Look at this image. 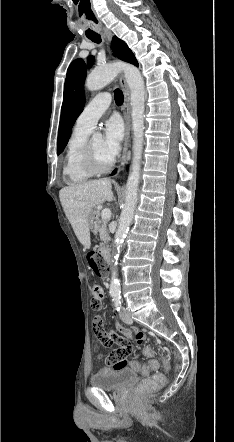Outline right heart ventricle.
Returning a JSON list of instances; mask_svg holds the SVG:
<instances>
[{
    "mask_svg": "<svg viewBox=\"0 0 234 442\" xmlns=\"http://www.w3.org/2000/svg\"><path fill=\"white\" fill-rule=\"evenodd\" d=\"M89 134L88 131L74 128L68 140L63 175L70 184H82L94 176L83 164V152Z\"/></svg>",
    "mask_w": 234,
    "mask_h": 442,
    "instance_id": "e07e8e85",
    "label": "right heart ventricle"
}]
</instances>
